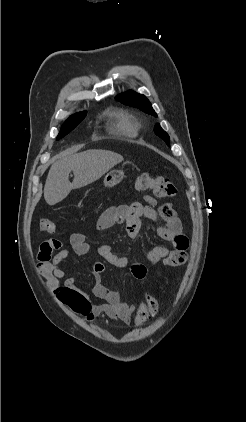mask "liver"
Returning a JSON list of instances; mask_svg holds the SVG:
<instances>
[{"instance_id":"1","label":"liver","mask_w":246,"mask_h":422,"mask_svg":"<svg viewBox=\"0 0 246 422\" xmlns=\"http://www.w3.org/2000/svg\"><path fill=\"white\" fill-rule=\"evenodd\" d=\"M123 161L120 154L106 150H87L77 154H64L52 164L44 187L47 204L55 205L65 199L73 189L84 187L102 177ZM73 172L74 180L69 181Z\"/></svg>"}]
</instances>
